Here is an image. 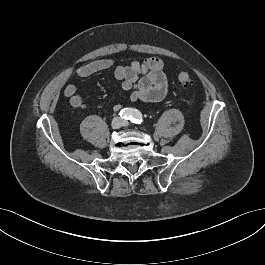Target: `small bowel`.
I'll list each match as a JSON object with an SVG mask.
<instances>
[{"label": "small bowel", "mask_w": 265, "mask_h": 265, "mask_svg": "<svg viewBox=\"0 0 265 265\" xmlns=\"http://www.w3.org/2000/svg\"><path fill=\"white\" fill-rule=\"evenodd\" d=\"M112 60L100 59L91 61L75 69L74 74L78 77H88L98 72L113 68ZM114 76L121 81L123 91H131L129 99L132 102H158L168 92V81L164 73V62L157 57H150L142 62L133 61L129 65H119L114 68ZM63 94L69 99L73 108L83 106V98L77 93L73 84H66ZM113 109H121L120 104L114 105Z\"/></svg>", "instance_id": "1"}]
</instances>
